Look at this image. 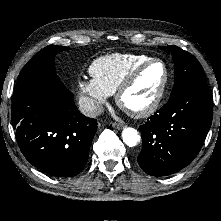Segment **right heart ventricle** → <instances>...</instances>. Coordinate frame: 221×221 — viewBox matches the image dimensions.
Returning a JSON list of instances; mask_svg holds the SVG:
<instances>
[{"instance_id": "1", "label": "right heart ventricle", "mask_w": 221, "mask_h": 221, "mask_svg": "<svg viewBox=\"0 0 221 221\" xmlns=\"http://www.w3.org/2000/svg\"><path fill=\"white\" fill-rule=\"evenodd\" d=\"M150 58L142 54L105 55L91 63L89 73L99 88L112 95L134 68Z\"/></svg>"}]
</instances>
